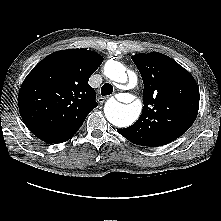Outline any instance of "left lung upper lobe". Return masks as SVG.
<instances>
[{
    "instance_id": "1",
    "label": "left lung upper lobe",
    "mask_w": 221,
    "mask_h": 221,
    "mask_svg": "<svg viewBox=\"0 0 221 221\" xmlns=\"http://www.w3.org/2000/svg\"><path fill=\"white\" fill-rule=\"evenodd\" d=\"M132 60L144 83L139 119L124 128L129 141L142 146L166 145L184 134L199 109V88L193 76L170 57L152 52Z\"/></svg>"
}]
</instances>
